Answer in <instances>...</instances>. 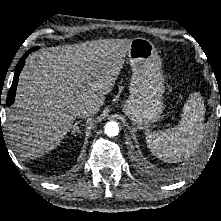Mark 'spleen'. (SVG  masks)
<instances>
[{"label": "spleen", "instance_id": "obj_1", "mask_svg": "<svg viewBox=\"0 0 221 221\" xmlns=\"http://www.w3.org/2000/svg\"><path fill=\"white\" fill-rule=\"evenodd\" d=\"M204 106L198 94H193L183 107L177 126L160 132H147V146L154 156L168 163L187 160L203 139Z\"/></svg>", "mask_w": 221, "mask_h": 221}]
</instances>
